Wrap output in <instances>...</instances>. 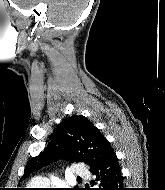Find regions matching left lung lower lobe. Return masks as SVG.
<instances>
[{
  "label": "left lung lower lobe",
  "mask_w": 165,
  "mask_h": 190,
  "mask_svg": "<svg viewBox=\"0 0 165 190\" xmlns=\"http://www.w3.org/2000/svg\"><path fill=\"white\" fill-rule=\"evenodd\" d=\"M90 171L95 175V180L100 185V188L97 190H124L122 188L123 177L121 169L114 152ZM93 183L96 182L93 181Z\"/></svg>",
  "instance_id": "1"
}]
</instances>
